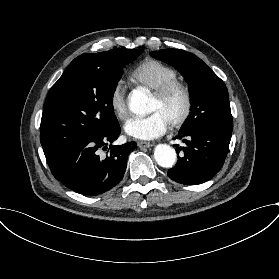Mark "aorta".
<instances>
[{
  "instance_id": "1",
  "label": "aorta",
  "mask_w": 279,
  "mask_h": 279,
  "mask_svg": "<svg viewBox=\"0 0 279 279\" xmlns=\"http://www.w3.org/2000/svg\"><path fill=\"white\" fill-rule=\"evenodd\" d=\"M148 96L140 90L134 91L129 98V108L137 115L148 113ZM154 157L158 165L164 168H172L176 162V151L167 144H159L155 147Z\"/></svg>"
}]
</instances>
